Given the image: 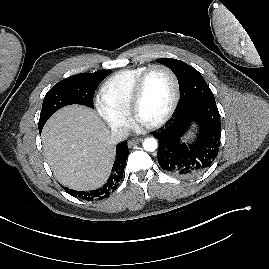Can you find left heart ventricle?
I'll list each match as a JSON object with an SVG mask.
<instances>
[{
  "label": "left heart ventricle",
  "mask_w": 269,
  "mask_h": 269,
  "mask_svg": "<svg viewBox=\"0 0 269 269\" xmlns=\"http://www.w3.org/2000/svg\"><path fill=\"white\" fill-rule=\"evenodd\" d=\"M174 96V84L164 70L152 71L144 86L138 108V118L144 124L160 119L168 110Z\"/></svg>",
  "instance_id": "1"
}]
</instances>
